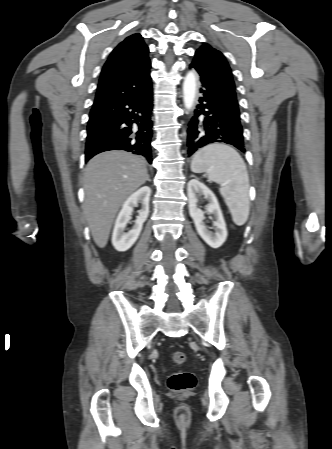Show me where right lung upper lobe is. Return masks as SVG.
Listing matches in <instances>:
<instances>
[{"mask_svg":"<svg viewBox=\"0 0 332 449\" xmlns=\"http://www.w3.org/2000/svg\"><path fill=\"white\" fill-rule=\"evenodd\" d=\"M148 53L140 34L122 41L102 69L93 106L145 94L151 88Z\"/></svg>","mask_w":332,"mask_h":449,"instance_id":"obj_1","label":"right lung upper lobe"}]
</instances>
